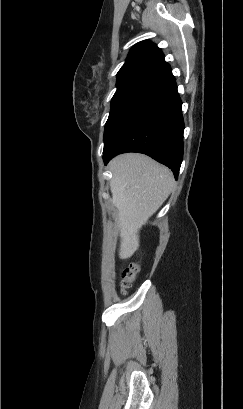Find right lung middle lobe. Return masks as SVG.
I'll use <instances>...</instances> for the list:
<instances>
[{
  "mask_svg": "<svg viewBox=\"0 0 243 409\" xmlns=\"http://www.w3.org/2000/svg\"><path fill=\"white\" fill-rule=\"evenodd\" d=\"M161 82L159 79L147 77L117 82V90L111 100L110 115L105 125L104 149L126 118Z\"/></svg>",
  "mask_w": 243,
  "mask_h": 409,
  "instance_id": "obj_1",
  "label": "right lung middle lobe"
}]
</instances>
